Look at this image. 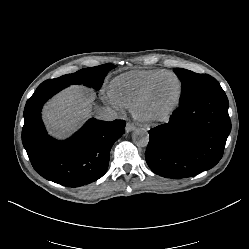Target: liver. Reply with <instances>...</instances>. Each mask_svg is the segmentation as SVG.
Returning a JSON list of instances; mask_svg holds the SVG:
<instances>
[{
    "label": "liver",
    "instance_id": "liver-1",
    "mask_svg": "<svg viewBox=\"0 0 249 249\" xmlns=\"http://www.w3.org/2000/svg\"><path fill=\"white\" fill-rule=\"evenodd\" d=\"M92 103L80 86H74L45 107L44 118L53 134L65 136L91 113Z\"/></svg>",
    "mask_w": 249,
    "mask_h": 249
}]
</instances>
